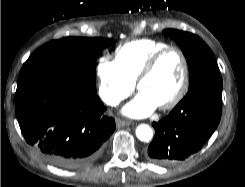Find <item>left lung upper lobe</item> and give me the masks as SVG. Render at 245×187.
<instances>
[{
  "label": "left lung upper lobe",
  "instance_id": "5c2ea615",
  "mask_svg": "<svg viewBox=\"0 0 245 187\" xmlns=\"http://www.w3.org/2000/svg\"><path fill=\"white\" fill-rule=\"evenodd\" d=\"M164 33L176 41L186 57L189 67V89L216 77L219 69L214 55L206 43L189 32L167 29Z\"/></svg>",
  "mask_w": 245,
  "mask_h": 187
}]
</instances>
